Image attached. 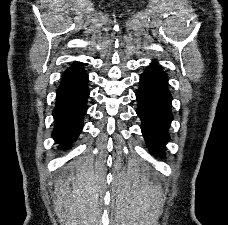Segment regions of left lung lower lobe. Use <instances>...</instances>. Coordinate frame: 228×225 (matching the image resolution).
<instances>
[{
	"instance_id": "0a47b994",
	"label": "left lung lower lobe",
	"mask_w": 228,
	"mask_h": 225,
	"mask_svg": "<svg viewBox=\"0 0 228 225\" xmlns=\"http://www.w3.org/2000/svg\"><path fill=\"white\" fill-rule=\"evenodd\" d=\"M168 79L162 68L152 63L140 77L137 115L141 118L142 134L152 154L163 156L164 146L169 140L168 129L173 115L172 96L168 90Z\"/></svg>"
}]
</instances>
